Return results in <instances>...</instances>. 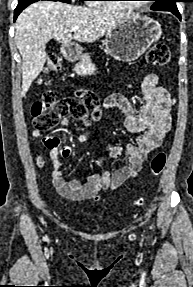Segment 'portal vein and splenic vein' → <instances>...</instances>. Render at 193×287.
Masks as SVG:
<instances>
[{
  "label": "portal vein and splenic vein",
  "mask_w": 193,
  "mask_h": 287,
  "mask_svg": "<svg viewBox=\"0 0 193 287\" xmlns=\"http://www.w3.org/2000/svg\"><path fill=\"white\" fill-rule=\"evenodd\" d=\"M78 30V27H73V28H71V31H73V32H75V31H77Z\"/></svg>",
  "instance_id": "1"
}]
</instances>
